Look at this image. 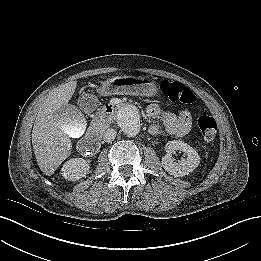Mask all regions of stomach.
<instances>
[{"mask_svg":"<svg viewBox=\"0 0 261 261\" xmlns=\"http://www.w3.org/2000/svg\"><path fill=\"white\" fill-rule=\"evenodd\" d=\"M97 91L103 96H153L157 93V86L154 81L145 77L121 76L102 82Z\"/></svg>","mask_w":261,"mask_h":261,"instance_id":"obj_1","label":"stomach"}]
</instances>
